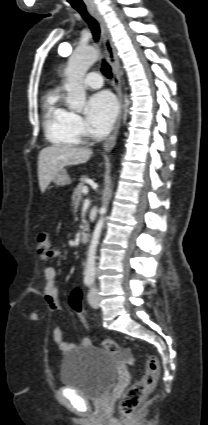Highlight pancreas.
I'll use <instances>...</instances> for the list:
<instances>
[{"mask_svg": "<svg viewBox=\"0 0 208 425\" xmlns=\"http://www.w3.org/2000/svg\"><path fill=\"white\" fill-rule=\"evenodd\" d=\"M86 180H87V176H82L80 178V182L77 185V188L74 191L73 197H72V202H73V206L75 208V211L77 210L79 203L81 201L83 192L82 189L85 187L86 184Z\"/></svg>", "mask_w": 208, "mask_h": 425, "instance_id": "cf45deb5", "label": "pancreas"}]
</instances>
